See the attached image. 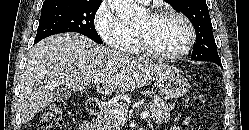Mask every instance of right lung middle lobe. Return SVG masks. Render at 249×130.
<instances>
[{"instance_id":"1","label":"right lung middle lobe","mask_w":249,"mask_h":130,"mask_svg":"<svg viewBox=\"0 0 249 130\" xmlns=\"http://www.w3.org/2000/svg\"><path fill=\"white\" fill-rule=\"evenodd\" d=\"M101 2L60 0L44 4L35 38L38 41L58 33L78 32L98 44L102 39L94 26L95 14Z\"/></svg>"}]
</instances>
